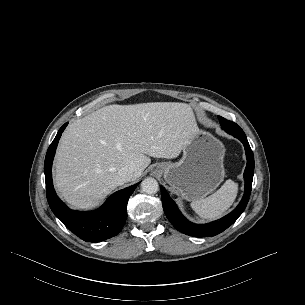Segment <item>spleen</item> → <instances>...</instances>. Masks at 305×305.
<instances>
[{
  "label": "spleen",
  "instance_id": "spleen-1",
  "mask_svg": "<svg viewBox=\"0 0 305 305\" xmlns=\"http://www.w3.org/2000/svg\"><path fill=\"white\" fill-rule=\"evenodd\" d=\"M237 192V183L229 179L214 194L194 200L191 207L202 219L216 220L221 218L233 204Z\"/></svg>",
  "mask_w": 305,
  "mask_h": 305
}]
</instances>
